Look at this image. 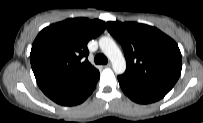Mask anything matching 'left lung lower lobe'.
I'll return each mask as SVG.
<instances>
[{
    "mask_svg": "<svg viewBox=\"0 0 203 123\" xmlns=\"http://www.w3.org/2000/svg\"><path fill=\"white\" fill-rule=\"evenodd\" d=\"M123 92L134 102L147 104L162 99L170 90L143 83L123 75L118 76Z\"/></svg>",
    "mask_w": 203,
    "mask_h": 123,
    "instance_id": "left-lung-lower-lobe-1",
    "label": "left lung lower lobe"
}]
</instances>
